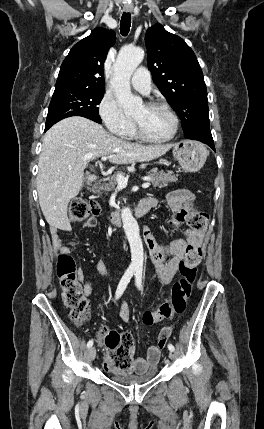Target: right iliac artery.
<instances>
[{"label":"right iliac artery","instance_id":"82829eb1","mask_svg":"<svg viewBox=\"0 0 264 429\" xmlns=\"http://www.w3.org/2000/svg\"><path fill=\"white\" fill-rule=\"evenodd\" d=\"M135 269L134 268H128L126 270V272L124 273V275L122 276L117 290H116V294H115V300H117L119 297H121V295L123 294L124 290L126 289L128 283L130 282V279L132 278L133 274L135 273ZM93 345V340H89L87 343V347L90 348Z\"/></svg>","mask_w":264,"mask_h":429}]
</instances>
